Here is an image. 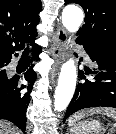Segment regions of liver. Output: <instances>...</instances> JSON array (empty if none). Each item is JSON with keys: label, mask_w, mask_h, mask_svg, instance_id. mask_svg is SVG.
<instances>
[{"label": "liver", "mask_w": 116, "mask_h": 134, "mask_svg": "<svg viewBox=\"0 0 116 134\" xmlns=\"http://www.w3.org/2000/svg\"><path fill=\"white\" fill-rule=\"evenodd\" d=\"M0 134H18V131L9 124L0 121Z\"/></svg>", "instance_id": "obj_1"}]
</instances>
